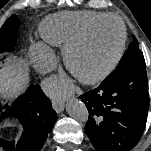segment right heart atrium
<instances>
[{
    "mask_svg": "<svg viewBox=\"0 0 151 151\" xmlns=\"http://www.w3.org/2000/svg\"><path fill=\"white\" fill-rule=\"evenodd\" d=\"M51 49L43 43H35L31 48V58L35 66L44 69L52 59Z\"/></svg>",
    "mask_w": 151,
    "mask_h": 151,
    "instance_id": "d8ad5b80",
    "label": "right heart atrium"
}]
</instances>
